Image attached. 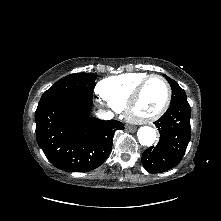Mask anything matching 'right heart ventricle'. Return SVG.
<instances>
[{
	"mask_svg": "<svg viewBox=\"0 0 221 221\" xmlns=\"http://www.w3.org/2000/svg\"><path fill=\"white\" fill-rule=\"evenodd\" d=\"M148 76L146 73H125L110 76L97 85V91L103 100L113 109L121 110L136 86Z\"/></svg>",
	"mask_w": 221,
	"mask_h": 221,
	"instance_id": "right-heart-ventricle-1",
	"label": "right heart ventricle"
}]
</instances>
